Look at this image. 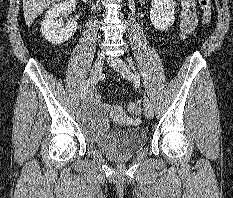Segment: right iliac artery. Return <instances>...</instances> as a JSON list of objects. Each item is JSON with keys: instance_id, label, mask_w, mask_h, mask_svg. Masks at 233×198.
Segmentation results:
<instances>
[{"instance_id": "right-iliac-artery-1", "label": "right iliac artery", "mask_w": 233, "mask_h": 198, "mask_svg": "<svg viewBox=\"0 0 233 198\" xmlns=\"http://www.w3.org/2000/svg\"><path fill=\"white\" fill-rule=\"evenodd\" d=\"M91 81L90 79H88L84 84H83V88H82V92H81V98H84L87 94L88 91V87L90 85Z\"/></svg>"}]
</instances>
